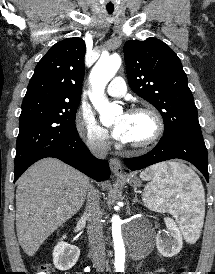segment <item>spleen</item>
<instances>
[{
    "label": "spleen",
    "mask_w": 215,
    "mask_h": 274,
    "mask_svg": "<svg viewBox=\"0 0 215 274\" xmlns=\"http://www.w3.org/2000/svg\"><path fill=\"white\" fill-rule=\"evenodd\" d=\"M140 178L150 180L143 192L148 209L170 213L188 241L197 239L205 213V193L200 179L188 167L161 163L145 169Z\"/></svg>",
    "instance_id": "obj_1"
}]
</instances>
